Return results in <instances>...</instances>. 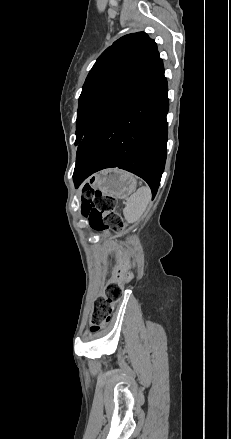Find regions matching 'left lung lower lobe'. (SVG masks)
Instances as JSON below:
<instances>
[{"instance_id": "1", "label": "left lung lower lobe", "mask_w": 231, "mask_h": 439, "mask_svg": "<svg viewBox=\"0 0 231 439\" xmlns=\"http://www.w3.org/2000/svg\"><path fill=\"white\" fill-rule=\"evenodd\" d=\"M163 64L139 82L81 140L74 182L118 167L143 178L157 193L167 156L169 109Z\"/></svg>"}]
</instances>
